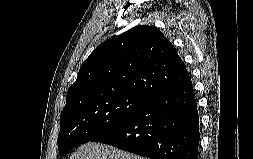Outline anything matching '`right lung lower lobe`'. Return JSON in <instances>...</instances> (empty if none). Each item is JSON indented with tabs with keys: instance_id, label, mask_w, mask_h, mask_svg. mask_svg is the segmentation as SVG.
<instances>
[{
	"instance_id": "obj_1",
	"label": "right lung lower lobe",
	"mask_w": 253,
	"mask_h": 159,
	"mask_svg": "<svg viewBox=\"0 0 253 159\" xmlns=\"http://www.w3.org/2000/svg\"><path fill=\"white\" fill-rule=\"evenodd\" d=\"M199 115L191 78L148 98L124 122L93 142L151 159H197Z\"/></svg>"
}]
</instances>
